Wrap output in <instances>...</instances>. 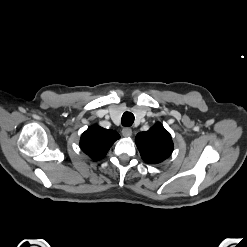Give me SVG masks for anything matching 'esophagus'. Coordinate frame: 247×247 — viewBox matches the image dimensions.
<instances>
[{"mask_svg": "<svg viewBox=\"0 0 247 247\" xmlns=\"http://www.w3.org/2000/svg\"><path fill=\"white\" fill-rule=\"evenodd\" d=\"M122 135L124 137H131L132 136V130L128 127L123 128Z\"/></svg>", "mask_w": 247, "mask_h": 247, "instance_id": "esophagus-1", "label": "esophagus"}]
</instances>
